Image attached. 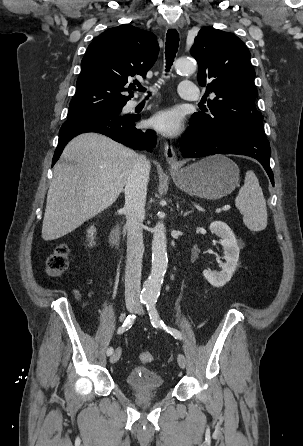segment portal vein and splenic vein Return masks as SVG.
Returning <instances> with one entry per match:
<instances>
[{"mask_svg":"<svg viewBox=\"0 0 303 446\" xmlns=\"http://www.w3.org/2000/svg\"><path fill=\"white\" fill-rule=\"evenodd\" d=\"M230 205H225L223 208H222V210L223 211H228V210H230Z\"/></svg>","mask_w":303,"mask_h":446,"instance_id":"1","label":"portal vein and splenic vein"}]
</instances>
